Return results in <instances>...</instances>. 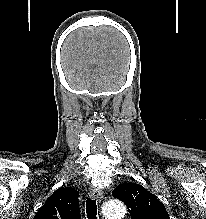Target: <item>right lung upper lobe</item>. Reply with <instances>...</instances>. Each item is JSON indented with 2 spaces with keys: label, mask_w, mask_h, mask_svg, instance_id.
Returning <instances> with one entry per match:
<instances>
[{
  "label": "right lung upper lobe",
  "mask_w": 206,
  "mask_h": 219,
  "mask_svg": "<svg viewBox=\"0 0 206 219\" xmlns=\"http://www.w3.org/2000/svg\"><path fill=\"white\" fill-rule=\"evenodd\" d=\"M78 195L72 187L57 189L33 219H81Z\"/></svg>",
  "instance_id": "right-lung-upper-lobe-1"
}]
</instances>
